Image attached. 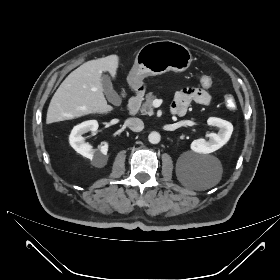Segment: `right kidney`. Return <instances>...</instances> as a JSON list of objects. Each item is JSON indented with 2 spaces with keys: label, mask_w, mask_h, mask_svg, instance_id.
<instances>
[{
  "label": "right kidney",
  "mask_w": 280,
  "mask_h": 280,
  "mask_svg": "<svg viewBox=\"0 0 280 280\" xmlns=\"http://www.w3.org/2000/svg\"><path fill=\"white\" fill-rule=\"evenodd\" d=\"M98 122L96 120L85 121L75 126L69 136L71 147L82 156L94 160L96 164H104L107 160L108 143L104 142L99 149H92L91 145L84 142V133L96 131Z\"/></svg>",
  "instance_id": "1"
}]
</instances>
